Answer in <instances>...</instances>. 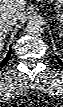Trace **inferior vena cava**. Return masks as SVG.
<instances>
[{
	"instance_id": "inferior-vena-cava-1",
	"label": "inferior vena cava",
	"mask_w": 63,
	"mask_h": 107,
	"mask_svg": "<svg viewBox=\"0 0 63 107\" xmlns=\"http://www.w3.org/2000/svg\"><path fill=\"white\" fill-rule=\"evenodd\" d=\"M17 22L16 15L13 14H1L0 15V29L2 31H9Z\"/></svg>"
}]
</instances>
